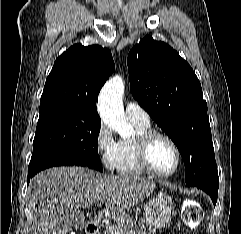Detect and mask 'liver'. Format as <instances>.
Listing matches in <instances>:
<instances>
[{
  "label": "liver",
  "instance_id": "obj_1",
  "mask_svg": "<svg viewBox=\"0 0 241 234\" xmlns=\"http://www.w3.org/2000/svg\"><path fill=\"white\" fill-rule=\"evenodd\" d=\"M155 187L150 179L134 175L101 174L75 166L47 169L28 186L27 199L33 209L31 234H69L73 226L78 227L79 209L101 199L120 220L119 214L143 201Z\"/></svg>",
  "mask_w": 241,
  "mask_h": 234
}]
</instances>
